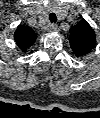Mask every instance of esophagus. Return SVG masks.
Returning a JSON list of instances; mask_svg holds the SVG:
<instances>
[{"mask_svg": "<svg viewBox=\"0 0 100 118\" xmlns=\"http://www.w3.org/2000/svg\"><path fill=\"white\" fill-rule=\"evenodd\" d=\"M49 32H57L59 30L57 25H50L47 29Z\"/></svg>", "mask_w": 100, "mask_h": 118, "instance_id": "1", "label": "esophagus"}]
</instances>
